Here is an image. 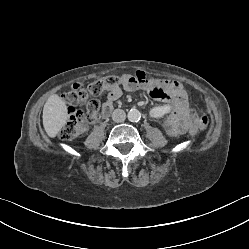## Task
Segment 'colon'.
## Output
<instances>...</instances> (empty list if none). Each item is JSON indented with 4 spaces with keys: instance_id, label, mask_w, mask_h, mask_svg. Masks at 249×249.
<instances>
[{
    "instance_id": "5ec220e1",
    "label": "colon",
    "mask_w": 249,
    "mask_h": 249,
    "mask_svg": "<svg viewBox=\"0 0 249 249\" xmlns=\"http://www.w3.org/2000/svg\"><path fill=\"white\" fill-rule=\"evenodd\" d=\"M143 77L125 79L118 76H107L88 85L87 88L75 85L70 91L64 94L65 102L70 106V115L60 131L63 139H74L85 134L88 124L97 121L99 114L103 112V106L97 100H88L89 96H97L104 90H109L125 82L140 83ZM162 97V95H161ZM85 104V111L77 110L76 106ZM210 125V119L203 115L195 120V127L205 130Z\"/></svg>"
}]
</instances>
